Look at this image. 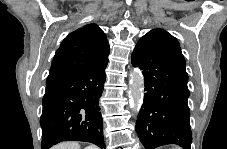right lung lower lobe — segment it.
<instances>
[{
    "label": "right lung lower lobe",
    "mask_w": 227,
    "mask_h": 149,
    "mask_svg": "<svg viewBox=\"0 0 227 149\" xmlns=\"http://www.w3.org/2000/svg\"><path fill=\"white\" fill-rule=\"evenodd\" d=\"M107 63L46 86L40 119L41 149L70 140L105 147L99 98Z\"/></svg>",
    "instance_id": "1"
}]
</instances>
